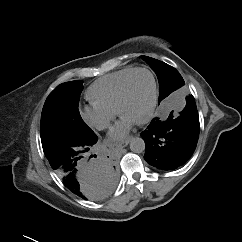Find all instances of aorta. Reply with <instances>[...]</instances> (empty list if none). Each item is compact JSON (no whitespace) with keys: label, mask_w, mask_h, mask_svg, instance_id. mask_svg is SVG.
Here are the masks:
<instances>
[{"label":"aorta","mask_w":242,"mask_h":242,"mask_svg":"<svg viewBox=\"0 0 242 242\" xmlns=\"http://www.w3.org/2000/svg\"><path fill=\"white\" fill-rule=\"evenodd\" d=\"M145 142L142 138L136 137L132 138L130 141V150L133 153H142L145 151Z\"/></svg>","instance_id":"1"}]
</instances>
